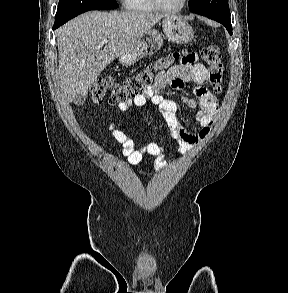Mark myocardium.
I'll list each match as a JSON object with an SVG mask.
<instances>
[{
	"label": "myocardium",
	"mask_w": 288,
	"mask_h": 293,
	"mask_svg": "<svg viewBox=\"0 0 288 293\" xmlns=\"http://www.w3.org/2000/svg\"><path fill=\"white\" fill-rule=\"evenodd\" d=\"M153 4V6L157 9V10H160V11H163V12H167V13H177V12H180L186 5L187 3V0H182L181 3L177 6V7H174V8H169V7H165L163 6L159 0H150Z\"/></svg>",
	"instance_id": "obj_1"
}]
</instances>
